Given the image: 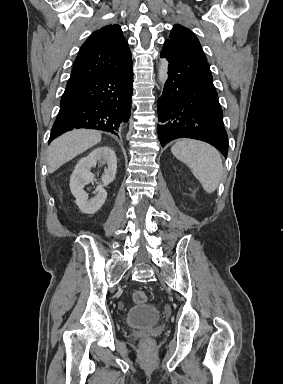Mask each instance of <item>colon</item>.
Here are the masks:
<instances>
[{"mask_svg":"<svg viewBox=\"0 0 283 384\" xmlns=\"http://www.w3.org/2000/svg\"><path fill=\"white\" fill-rule=\"evenodd\" d=\"M132 298H133L134 303H136V304H144L147 302V295L143 290L134 291ZM143 343H144V345H149L150 340L146 339V340H144Z\"/></svg>","mask_w":283,"mask_h":384,"instance_id":"1","label":"colon"}]
</instances>
